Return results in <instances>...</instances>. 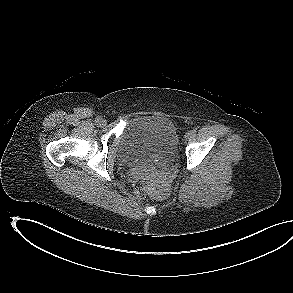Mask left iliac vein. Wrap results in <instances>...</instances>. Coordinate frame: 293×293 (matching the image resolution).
I'll use <instances>...</instances> for the list:
<instances>
[{
	"label": "left iliac vein",
	"mask_w": 293,
	"mask_h": 293,
	"mask_svg": "<svg viewBox=\"0 0 293 293\" xmlns=\"http://www.w3.org/2000/svg\"><path fill=\"white\" fill-rule=\"evenodd\" d=\"M191 135H192L191 132H187V133L185 134V138L188 139Z\"/></svg>",
	"instance_id": "obj_1"
}]
</instances>
